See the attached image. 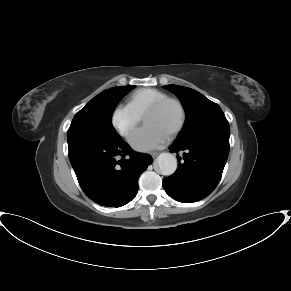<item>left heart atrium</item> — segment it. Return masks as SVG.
<instances>
[{
	"instance_id": "1",
	"label": "left heart atrium",
	"mask_w": 291,
	"mask_h": 291,
	"mask_svg": "<svg viewBox=\"0 0 291 291\" xmlns=\"http://www.w3.org/2000/svg\"><path fill=\"white\" fill-rule=\"evenodd\" d=\"M169 139V134L153 125L145 124L130 137V144L139 151L161 148Z\"/></svg>"
}]
</instances>
